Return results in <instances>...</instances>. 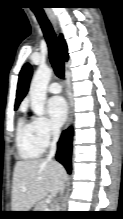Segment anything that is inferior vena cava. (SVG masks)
<instances>
[{
	"mask_svg": "<svg viewBox=\"0 0 123 219\" xmlns=\"http://www.w3.org/2000/svg\"><path fill=\"white\" fill-rule=\"evenodd\" d=\"M52 135H53V138H52V142L50 144V152L47 156V159H49V160H51L56 154L57 141H58L59 136H60V129L57 127H53L52 128ZM63 190H64V185H62V187L60 189L61 193H63Z\"/></svg>",
	"mask_w": 123,
	"mask_h": 219,
	"instance_id": "602c4592",
	"label": "inferior vena cava"
}]
</instances>
